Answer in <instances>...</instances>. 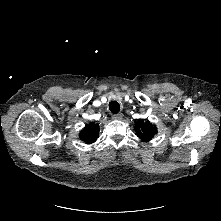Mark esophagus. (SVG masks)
<instances>
[{"instance_id":"1","label":"esophagus","mask_w":221,"mask_h":221,"mask_svg":"<svg viewBox=\"0 0 221 221\" xmlns=\"http://www.w3.org/2000/svg\"><path fill=\"white\" fill-rule=\"evenodd\" d=\"M122 118V114H114V115H112V119H114V120H120Z\"/></svg>"}]
</instances>
